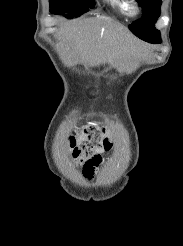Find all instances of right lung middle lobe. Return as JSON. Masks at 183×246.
Returning <instances> with one entry per match:
<instances>
[{"label": "right lung middle lobe", "mask_w": 183, "mask_h": 246, "mask_svg": "<svg viewBox=\"0 0 183 246\" xmlns=\"http://www.w3.org/2000/svg\"><path fill=\"white\" fill-rule=\"evenodd\" d=\"M94 0H50V12L60 14L62 12H72L65 15L68 19L80 16L88 11V8L94 7Z\"/></svg>", "instance_id": "right-lung-middle-lobe-1"}]
</instances>
